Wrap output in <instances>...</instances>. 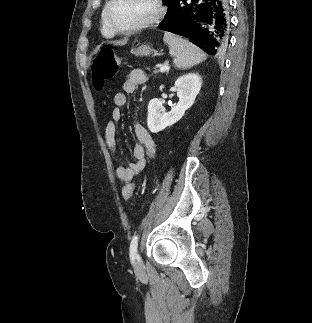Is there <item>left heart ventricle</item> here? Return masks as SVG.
Here are the masks:
<instances>
[{
  "mask_svg": "<svg viewBox=\"0 0 312 323\" xmlns=\"http://www.w3.org/2000/svg\"><path fill=\"white\" fill-rule=\"evenodd\" d=\"M148 14H156V2L152 0H116L111 7V18H122L124 22L148 18Z\"/></svg>",
  "mask_w": 312,
  "mask_h": 323,
  "instance_id": "obj_1",
  "label": "left heart ventricle"
}]
</instances>
